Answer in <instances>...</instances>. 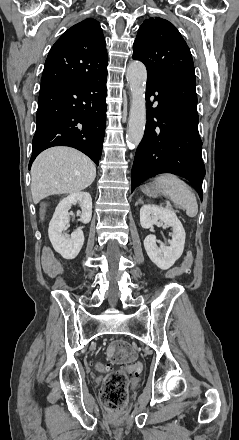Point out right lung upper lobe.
Returning a JSON list of instances; mask_svg holds the SVG:
<instances>
[{"label":"right lung upper lobe","instance_id":"right-lung-upper-lobe-1","mask_svg":"<svg viewBox=\"0 0 239 440\" xmlns=\"http://www.w3.org/2000/svg\"><path fill=\"white\" fill-rule=\"evenodd\" d=\"M107 64L100 24L88 18L69 28L52 46L41 85L91 79L107 72Z\"/></svg>","mask_w":239,"mask_h":440}]
</instances>
